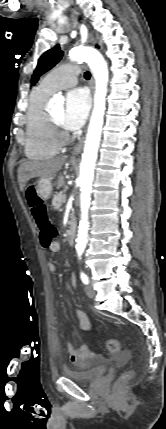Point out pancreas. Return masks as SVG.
Instances as JSON below:
<instances>
[{
	"mask_svg": "<svg viewBox=\"0 0 166 429\" xmlns=\"http://www.w3.org/2000/svg\"><path fill=\"white\" fill-rule=\"evenodd\" d=\"M65 196L64 193H58L56 195H54V198L52 200V206L54 207V209H59L63 203V197Z\"/></svg>",
	"mask_w": 166,
	"mask_h": 429,
	"instance_id": "pancreas-1",
	"label": "pancreas"
}]
</instances>
